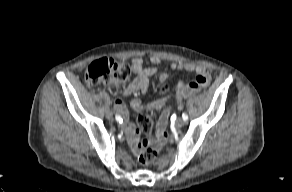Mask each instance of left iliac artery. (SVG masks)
<instances>
[{
    "label": "left iliac artery",
    "mask_w": 292,
    "mask_h": 192,
    "mask_svg": "<svg viewBox=\"0 0 292 192\" xmlns=\"http://www.w3.org/2000/svg\"><path fill=\"white\" fill-rule=\"evenodd\" d=\"M182 118H183L184 121H187L188 120V115L184 112L182 114Z\"/></svg>",
    "instance_id": "left-iliac-artery-1"
}]
</instances>
